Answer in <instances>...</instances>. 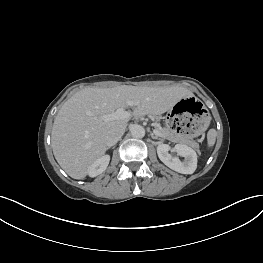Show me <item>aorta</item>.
<instances>
[{"label": "aorta", "mask_w": 263, "mask_h": 263, "mask_svg": "<svg viewBox=\"0 0 263 263\" xmlns=\"http://www.w3.org/2000/svg\"><path fill=\"white\" fill-rule=\"evenodd\" d=\"M130 132L134 138H143L145 136V129L141 125H133Z\"/></svg>", "instance_id": "1"}]
</instances>
